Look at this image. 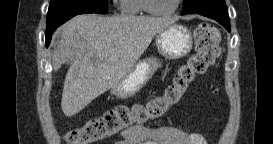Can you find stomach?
Here are the masks:
<instances>
[{
	"mask_svg": "<svg viewBox=\"0 0 273 144\" xmlns=\"http://www.w3.org/2000/svg\"><path fill=\"white\" fill-rule=\"evenodd\" d=\"M192 34L188 27L171 24L156 36L158 53L167 59H178L187 55L192 49ZM160 63L154 57L136 62L129 73L111 89V94L126 99L140 91L152 78Z\"/></svg>",
	"mask_w": 273,
	"mask_h": 144,
	"instance_id": "stomach-1",
	"label": "stomach"
}]
</instances>
